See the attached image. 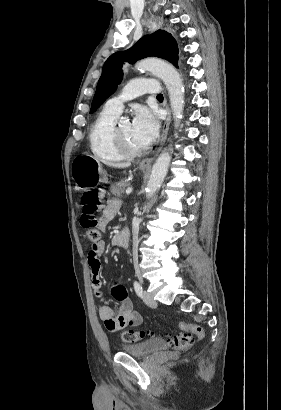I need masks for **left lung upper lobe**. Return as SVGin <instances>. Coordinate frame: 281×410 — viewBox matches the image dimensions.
<instances>
[{"instance_id":"obj_1","label":"left lung upper lobe","mask_w":281,"mask_h":410,"mask_svg":"<svg viewBox=\"0 0 281 410\" xmlns=\"http://www.w3.org/2000/svg\"><path fill=\"white\" fill-rule=\"evenodd\" d=\"M150 56L165 59L178 67V47L170 33L158 30L142 37L130 49L111 55L103 66L90 113H93L117 89L123 76L122 66L125 62L133 64L138 59Z\"/></svg>"}]
</instances>
